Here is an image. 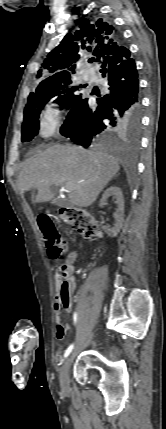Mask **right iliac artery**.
I'll return each mask as SVG.
<instances>
[{
    "mask_svg": "<svg viewBox=\"0 0 166 429\" xmlns=\"http://www.w3.org/2000/svg\"><path fill=\"white\" fill-rule=\"evenodd\" d=\"M76 320H77V314L74 313V322H76ZM73 347H74V345L72 344L66 349V351L64 353V358H66L71 353Z\"/></svg>",
    "mask_w": 166,
    "mask_h": 429,
    "instance_id": "82829eb1",
    "label": "right iliac artery"
}]
</instances>
